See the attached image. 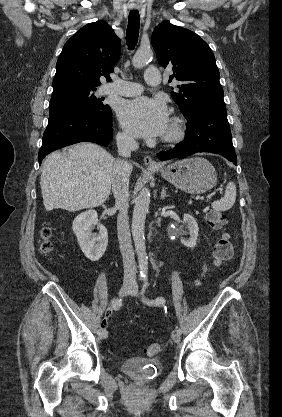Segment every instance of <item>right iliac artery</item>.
Listing matches in <instances>:
<instances>
[{
  "instance_id": "obj_1",
  "label": "right iliac artery",
  "mask_w": 282,
  "mask_h": 417,
  "mask_svg": "<svg viewBox=\"0 0 282 417\" xmlns=\"http://www.w3.org/2000/svg\"><path fill=\"white\" fill-rule=\"evenodd\" d=\"M121 306H122V299L115 298L111 301L109 309L110 310H118Z\"/></svg>"
}]
</instances>
